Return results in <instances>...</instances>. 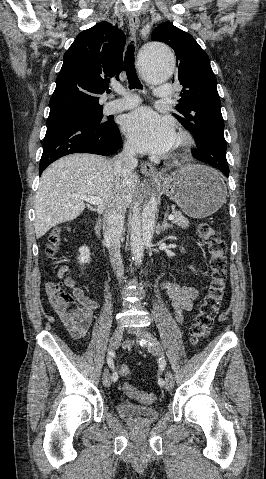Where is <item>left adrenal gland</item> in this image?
<instances>
[{
  "instance_id": "a2214340",
  "label": "left adrenal gland",
  "mask_w": 266,
  "mask_h": 479,
  "mask_svg": "<svg viewBox=\"0 0 266 479\" xmlns=\"http://www.w3.org/2000/svg\"><path fill=\"white\" fill-rule=\"evenodd\" d=\"M172 227H173L172 224H169L167 222V215H165L164 220H163L161 226L159 227V232L165 231L166 229H169V228H172Z\"/></svg>"
}]
</instances>
